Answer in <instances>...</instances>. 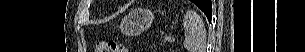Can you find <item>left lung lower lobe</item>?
<instances>
[{
	"instance_id": "obj_1",
	"label": "left lung lower lobe",
	"mask_w": 305,
	"mask_h": 52,
	"mask_svg": "<svg viewBox=\"0 0 305 52\" xmlns=\"http://www.w3.org/2000/svg\"><path fill=\"white\" fill-rule=\"evenodd\" d=\"M205 15L207 16L208 20L211 21V16H212V5H211V0H205V7L200 8Z\"/></svg>"
}]
</instances>
